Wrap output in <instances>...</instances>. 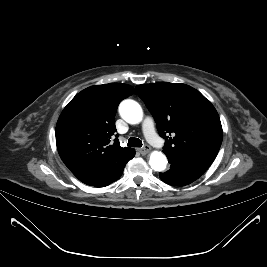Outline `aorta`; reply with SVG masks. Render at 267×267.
I'll return each instance as SVG.
<instances>
[{
    "label": "aorta",
    "mask_w": 267,
    "mask_h": 267,
    "mask_svg": "<svg viewBox=\"0 0 267 267\" xmlns=\"http://www.w3.org/2000/svg\"><path fill=\"white\" fill-rule=\"evenodd\" d=\"M120 116L129 124H138L143 119V110L138 102L126 99L119 105ZM149 165L154 171H163L167 165L166 156L160 151L150 154Z\"/></svg>",
    "instance_id": "1"
}]
</instances>
